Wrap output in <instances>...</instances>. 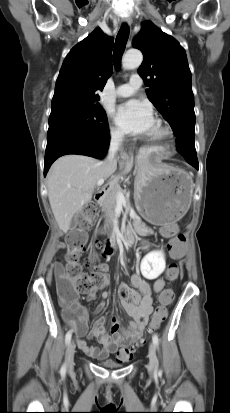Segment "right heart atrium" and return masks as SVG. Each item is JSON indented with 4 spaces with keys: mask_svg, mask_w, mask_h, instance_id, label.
Returning <instances> with one entry per match:
<instances>
[{
    "mask_svg": "<svg viewBox=\"0 0 230 413\" xmlns=\"http://www.w3.org/2000/svg\"><path fill=\"white\" fill-rule=\"evenodd\" d=\"M109 135L112 142L120 144L124 140V133L116 126H109Z\"/></svg>",
    "mask_w": 230,
    "mask_h": 413,
    "instance_id": "right-heart-atrium-1",
    "label": "right heart atrium"
}]
</instances>
